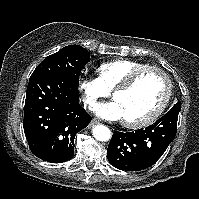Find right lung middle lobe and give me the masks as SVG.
Instances as JSON below:
<instances>
[{"label":"right lung middle lobe","mask_w":199,"mask_h":199,"mask_svg":"<svg viewBox=\"0 0 199 199\" xmlns=\"http://www.w3.org/2000/svg\"><path fill=\"white\" fill-rule=\"evenodd\" d=\"M90 61L89 52L79 45H69L48 56L34 70L31 77L45 74L61 75L79 85L83 67Z\"/></svg>","instance_id":"1"}]
</instances>
